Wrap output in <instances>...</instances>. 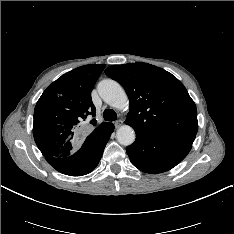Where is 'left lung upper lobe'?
Here are the masks:
<instances>
[{"instance_id": "left-lung-upper-lobe-1", "label": "left lung upper lobe", "mask_w": 234, "mask_h": 234, "mask_svg": "<svg viewBox=\"0 0 234 234\" xmlns=\"http://www.w3.org/2000/svg\"><path fill=\"white\" fill-rule=\"evenodd\" d=\"M105 73L126 90L130 111L125 123L136 132L197 134L195 103L171 73L147 63L112 65Z\"/></svg>"}]
</instances>
